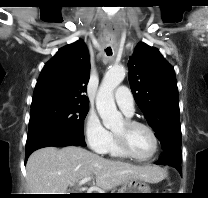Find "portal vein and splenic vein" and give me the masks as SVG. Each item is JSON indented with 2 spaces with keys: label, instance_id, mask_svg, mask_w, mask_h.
Listing matches in <instances>:
<instances>
[{
  "label": "portal vein and splenic vein",
  "instance_id": "1",
  "mask_svg": "<svg viewBox=\"0 0 208 198\" xmlns=\"http://www.w3.org/2000/svg\"><path fill=\"white\" fill-rule=\"evenodd\" d=\"M90 180H91L90 177H86V178L82 179L81 181H79V185H83L84 183H86V182H88Z\"/></svg>",
  "mask_w": 208,
  "mask_h": 198
}]
</instances>
